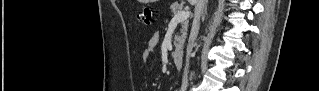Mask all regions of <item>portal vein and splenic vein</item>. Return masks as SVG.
Masks as SVG:
<instances>
[{
	"instance_id": "1",
	"label": "portal vein and splenic vein",
	"mask_w": 319,
	"mask_h": 91,
	"mask_svg": "<svg viewBox=\"0 0 319 91\" xmlns=\"http://www.w3.org/2000/svg\"><path fill=\"white\" fill-rule=\"evenodd\" d=\"M189 16H190L189 11H180L174 15V17L172 18V21L176 23L184 22L185 20L189 18Z\"/></svg>"
}]
</instances>
